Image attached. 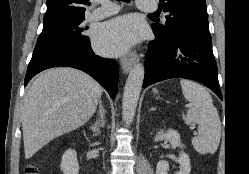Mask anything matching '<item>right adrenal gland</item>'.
<instances>
[{"instance_id": "2a0ac1e0", "label": "right adrenal gland", "mask_w": 249, "mask_h": 174, "mask_svg": "<svg viewBox=\"0 0 249 174\" xmlns=\"http://www.w3.org/2000/svg\"><path fill=\"white\" fill-rule=\"evenodd\" d=\"M105 125V109L102 104V101H99V117L96 122L91 126V130L93 131L94 135L96 136L100 132V128L104 127Z\"/></svg>"}]
</instances>
